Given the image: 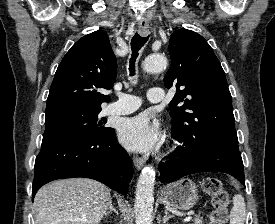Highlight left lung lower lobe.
<instances>
[{"mask_svg": "<svg viewBox=\"0 0 275 224\" xmlns=\"http://www.w3.org/2000/svg\"><path fill=\"white\" fill-rule=\"evenodd\" d=\"M172 137L183 140L174 134ZM183 145L185 147L178 146L170 155L171 160L159 164L162 183H170L189 174L210 171L228 173L244 184L243 162L238 143L207 140L192 144L184 141Z\"/></svg>", "mask_w": 275, "mask_h": 224, "instance_id": "left-lung-lower-lobe-1", "label": "left lung lower lobe"}]
</instances>
